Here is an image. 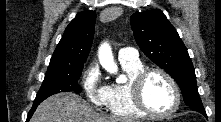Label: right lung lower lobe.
I'll use <instances>...</instances> for the list:
<instances>
[{
	"label": "right lung lower lobe",
	"instance_id": "right-lung-lower-lobe-1",
	"mask_svg": "<svg viewBox=\"0 0 221 122\" xmlns=\"http://www.w3.org/2000/svg\"><path fill=\"white\" fill-rule=\"evenodd\" d=\"M40 103H34L33 104V107L32 109L30 110L29 114H28V117H27V121L31 118V116L33 115L34 111L36 110L37 106L39 105Z\"/></svg>",
	"mask_w": 221,
	"mask_h": 122
}]
</instances>
